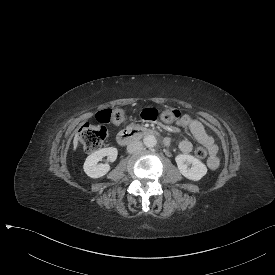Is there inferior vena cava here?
I'll use <instances>...</instances> for the list:
<instances>
[{
    "label": "inferior vena cava",
    "instance_id": "obj_1",
    "mask_svg": "<svg viewBox=\"0 0 275 275\" xmlns=\"http://www.w3.org/2000/svg\"><path fill=\"white\" fill-rule=\"evenodd\" d=\"M143 149V144L141 141L135 140L128 144L127 151L129 153H136Z\"/></svg>",
    "mask_w": 275,
    "mask_h": 275
}]
</instances>
